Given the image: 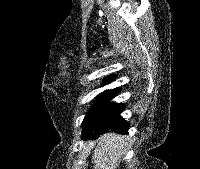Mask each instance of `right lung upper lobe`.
<instances>
[{"label":"right lung upper lobe","mask_w":200,"mask_h":169,"mask_svg":"<svg viewBox=\"0 0 200 169\" xmlns=\"http://www.w3.org/2000/svg\"><path fill=\"white\" fill-rule=\"evenodd\" d=\"M114 79H115V75L109 76V77L105 78V80L103 81L102 84H107V83L111 82Z\"/></svg>","instance_id":"right-lung-upper-lobe-1"}]
</instances>
